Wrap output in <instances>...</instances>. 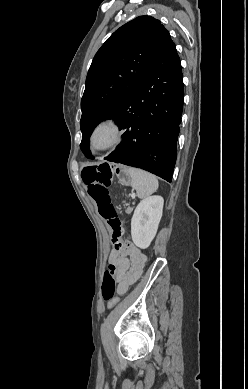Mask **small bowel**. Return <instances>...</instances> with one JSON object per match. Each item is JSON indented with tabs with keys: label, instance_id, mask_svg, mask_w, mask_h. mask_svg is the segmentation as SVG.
I'll list each match as a JSON object with an SVG mask.
<instances>
[{
	"label": "small bowel",
	"instance_id": "obj_1",
	"mask_svg": "<svg viewBox=\"0 0 248 389\" xmlns=\"http://www.w3.org/2000/svg\"><path fill=\"white\" fill-rule=\"evenodd\" d=\"M127 256L130 257V262ZM109 262L118 269L117 293L122 295L126 293L130 285L139 279L147 263V258L134 244L124 241L120 249L111 251Z\"/></svg>",
	"mask_w": 248,
	"mask_h": 389
}]
</instances>
